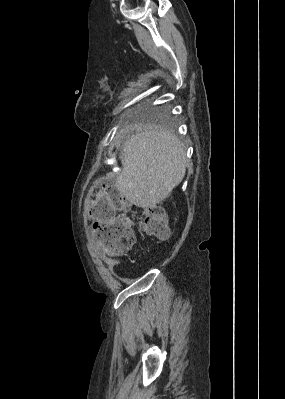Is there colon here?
Listing matches in <instances>:
<instances>
[{"instance_id": "1", "label": "colon", "mask_w": 285, "mask_h": 399, "mask_svg": "<svg viewBox=\"0 0 285 399\" xmlns=\"http://www.w3.org/2000/svg\"><path fill=\"white\" fill-rule=\"evenodd\" d=\"M120 206L121 197L110 184H103L87 202L89 216L94 221L95 239L107 252L119 256L131 252L136 243V227L153 236H168L169 224L164 208H140L134 216H129L117 213Z\"/></svg>"}]
</instances>
